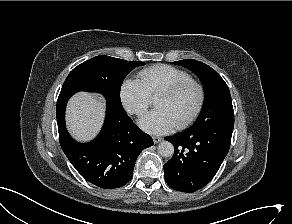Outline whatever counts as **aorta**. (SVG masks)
<instances>
[{
    "label": "aorta",
    "mask_w": 292,
    "mask_h": 224,
    "mask_svg": "<svg viewBox=\"0 0 292 224\" xmlns=\"http://www.w3.org/2000/svg\"><path fill=\"white\" fill-rule=\"evenodd\" d=\"M158 153L163 157H171L174 154V146L168 141H162L158 145Z\"/></svg>",
    "instance_id": "aorta-1"
}]
</instances>
